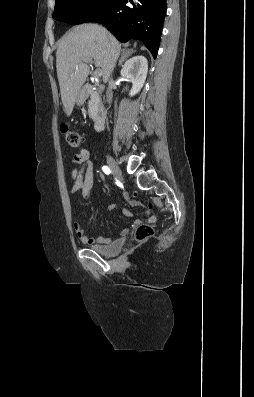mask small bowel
<instances>
[{
  "mask_svg": "<svg viewBox=\"0 0 254 397\" xmlns=\"http://www.w3.org/2000/svg\"><path fill=\"white\" fill-rule=\"evenodd\" d=\"M72 162L79 167H74L71 171V177L73 179V185L71 187V194L76 195L79 194L83 199H88L90 197L91 189L93 186L94 180V169L93 163L90 160V153L87 149H80L72 158ZM128 202L131 205H138V202L132 197H127ZM115 207H113L114 209ZM122 213L130 217L131 213L128 210H122ZM147 221L149 223H154L156 217L151 215L149 211H146ZM141 224V220H135L134 225L138 226ZM74 231L80 241L87 245H99V244H108L111 239L109 237L99 236V237H90L86 234L82 225L78 222L73 225ZM128 233V229H124L122 231L123 235Z\"/></svg>",
  "mask_w": 254,
  "mask_h": 397,
  "instance_id": "1",
  "label": "small bowel"
}]
</instances>
